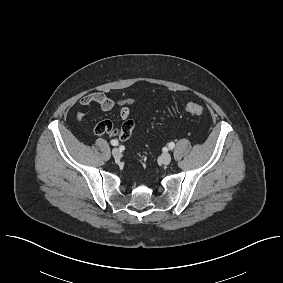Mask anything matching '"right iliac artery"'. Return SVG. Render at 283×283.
Wrapping results in <instances>:
<instances>
[{
	"instance_id": "82829eb1",
	"label": "right iliac artery",
	"mask_w": 283,
	"mask_h": 283,
	"mask_svg": "<svg viewBox=\"0 0 283 283\" xmlns=\"http://www.w3.org/2000/svg\"><path fill=\"white\" fill-rule=\"evenodd\" d=\"M119 143L117 140H111V145L117 146Z\"/></svg>"
}]
</instances>
